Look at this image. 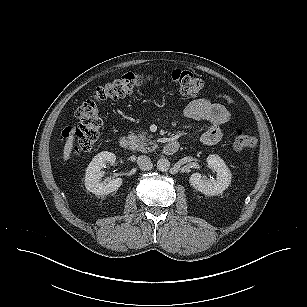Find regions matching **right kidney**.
<instances>
[{
  "label": "right kidney",
  "instance_id": "ca27d5eb",
  "mask_svg": "<svg viewBox=\"0 0 307 307\" xmlns=\"http://www.w3.org/2000/svg\"><path fill=\"white\" fill-rule=\"evenodd\" d=\"M115 161V154L108 151H102L92 159L85 174V187L88 191L95 195H107L119 189L123 182L122 178L101 182L104 175L102 168L106 163H114Z\"/></svg>",
  "mask_w": 307,
  "mask_h": 307
}]
</instances>
